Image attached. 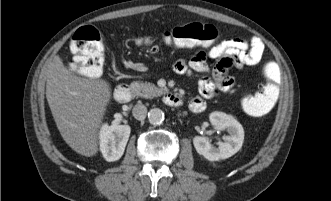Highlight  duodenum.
I'll use <instances>...</instances> for the list:
<instances>
[{
  "label": "duodenum",
  "instance_id": "obj_1",
  "mask_svg": "<svg viewBox=\"0 0 331 201\" xmlns=\"http://www.w3.org/2000/svg\"><path fill=\"white\" fill-rule=\"evenodd\" d=\"M132 95V87L128 84H120L114 92V98L118 103L128 102L131 99ZM163 99L165 104L171 107H178L182 103L181 98L172 92H166Z\"/></svg>",
  "mask_w": 331,
  "mask_h": 201
}]
</instances>
